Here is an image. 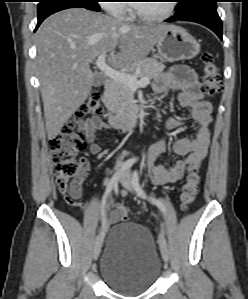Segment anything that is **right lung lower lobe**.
<instances>
[{
	"label": "right lung lower lobe",
	"instance_id": "98d812e1",
	"mask_svg": "<svg viewBox=\"0 0 248 299\" xmlns=\"http://www.w3.org/2000/svg\"><path fill=\"white\" fill-rule=\"evenodd\" d=\"M74 7H83V8L89 9V10H93L91 8H88V7H85L83 5L76 4V3H60V4H56V5L52 6V7H49L47 9L43 10L42 12L38 13V24H37L36 29L41 24V22L46 17H48L49 15H51V14H53L55 12H58L60 10H64V9H68V8H74ZM93 11H95V10H93Z\"/></svg>",
	"mask_w": 248,
	"mask_h": 299
}]
</instances>
